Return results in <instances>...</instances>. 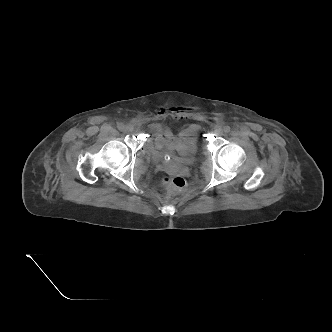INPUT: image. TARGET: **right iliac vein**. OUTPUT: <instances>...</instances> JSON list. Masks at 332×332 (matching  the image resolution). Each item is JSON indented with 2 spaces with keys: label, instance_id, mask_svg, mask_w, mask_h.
Instances as JSON below:
<instances>
[{
  "label": "right iliac vein",
  "instance_id": "obj_1",
  "mask_svg": "<svg viewBox=\"0 0 332 332\" xmlns=\"http://www.w3.org/2000/svg\"><path fill=\"white\" fill-rule=\"evenodd\" d=\"M123 131L127 132V133H130V132L133 131V127L131 125H126V126H124Z\"/></svg>",
  "mask_w": 332,
  "mask_h": 332
}]
</instances>
